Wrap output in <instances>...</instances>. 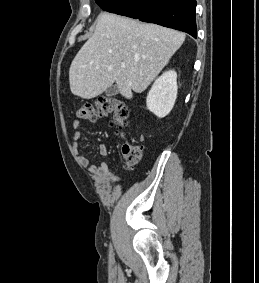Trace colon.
<instances>
[{"label": "colon", "instance_id": "1", "mask_svg": "<svg viewBox=\"0 0 259 283\" xmlns=\"http://www.w3.org/2000/svg\"><path fill=\"white\" fill-rule=\"evenodd\" d=\"M77 115L80 119L94 121L97 118L112 116L113 124L117 128L120 136L126 135L129 127V108L121 99L114 96H105L96 100L94 103L83 104ZM143 144L141 142L125 143L122 146V160L126 166L136 165L142 156Z\"/></svg>", "mask_w": 259, "mask_h": 283}]
</instances>
